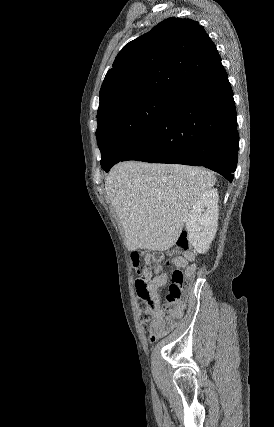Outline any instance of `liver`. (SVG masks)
I'll list each match as a JSON object with an SVG mask.
<instances>
[{
  "label": "liver",
  "instance_id": "6515ba94",
  "mask_svg": "<svg viewBox=\"0 0 274 427\" xmlns=\"http://www.w3.org/2000/svg\"><path fill=\"white\" fill-rule=\"evenodd\" d=\"M215 184L205 168L120 162L109 172L105 190L123 225L126 247L165 251L175 245L199 196Z\"/></svg>",
  "mask_w": 274,
  "mask_h": 427
}]
</instances>
